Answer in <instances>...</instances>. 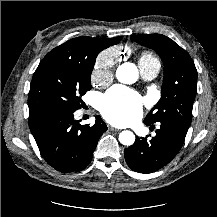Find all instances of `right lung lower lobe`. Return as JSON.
I'll list each match as a JSON object with an SVG mask.
<instances>
[{
  "label": "right lung lower lobe",
  "instance_id": "right-lung-lower-lobe-1",
  "mask_svg": "<svg viewBox=\"0 0 217 217\" xmlns=\"http://www.w3.org/2000/svg\"><path fill=\"white\" fill-rule=\"evenodd\" d=\"M74 112L43 111L29 115V127L45 161L63 173L83 170L92 160L100 136L107 130L100 116L81 125Z\"/></svg>",
  "mask_w": 217,
  "mask_h": 217
}]
</instances>
